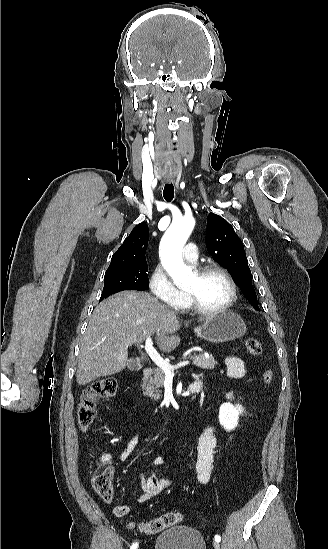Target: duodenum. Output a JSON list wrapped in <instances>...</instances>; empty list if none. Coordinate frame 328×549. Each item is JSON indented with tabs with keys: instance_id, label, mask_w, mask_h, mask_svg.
<instances>
[{
	"instance_id": "obj_1",
	"label": "duodenum",
	"mask_w": 328,
	"mask_h": 549,
	"mask_svg": "<svg viewBox=\"0 0 328 549\" xmlns=\"http://www.w3.org/2000/svg\"><path fill=\"white\" fill-rule=\"evenodd\" d=\"M153 373L152 368L147 367L144 368L142 371V378L143 380H147ZM204 386V381L202 379H197L194 382H192L188 388L189 394H197L201 391V389Z\"/></svg>"
}]
</instances>
